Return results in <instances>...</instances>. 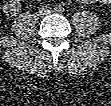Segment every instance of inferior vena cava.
Listing matches in <instances>:
<instances>
[{"label": "inferior vena cava", "mask_w": 111, "mask_h": 106, "mask_svg": "<svg viewBox=\"0 0 111 106\" xmlns=\"http://www.w3.org/2000/svg\"><path fill=\"white\" fill-rule=\"evenodd\" d=\"M51 12V8L50 7H48V6H42L40 9H39V13L41 14V15H47V14H49Z\"/></svg>", "instance_id": "obj_1"}]
</instances>
